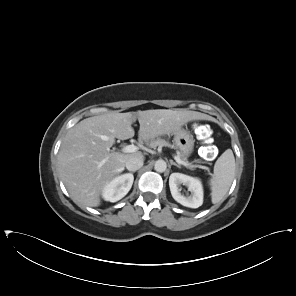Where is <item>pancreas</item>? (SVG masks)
I'll use <instances>...</instances> for the list:
<instances>
[{"instance_id":"1","label":"pancreas","mask_w":296,"mask_h":296,"mask_svg":"<svg viewBox=\"0 0 296 296\" xmlns=\"http://www.w3.org/2000/svg\"><path fill=\"white\" fill-rule=\"evenodd\" d=\"M149 146L152 147V148H155L157 146L158 147H164V146L174 147L173 145H171L170 143H168L164 139H160V138L151 140L149 142ZM179 157H181L183 160H186V157L184 155H182V154H180ZM186 163L189 164L188 162H186ZM186 167L191 169V168H193V165L189 164V166H186Z\"/></svg>"}]
</instances>
